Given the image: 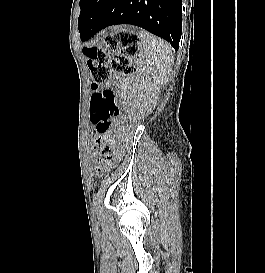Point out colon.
Listing matches in <instances>:
<instances>
[{
    "mask_svg": "<svg viewBox=\"0 0 265 273\" xmlns=\"http://www.w3.org/2000/svg\"><path fill=\"white\" fill-rule=\"evenodd\" d=\"M139 50L138 36L127 31L107 34L102 46L85 48L84 54L88 60L95 87L109 78V69L105 64L109 54H112L113 72L117 75H128L135 72L134 58ZM89 112L90 120L96 127L93 144L97 151L98 168L103 171L109 166L110 153L114 147V137L109 127L111 120L119 113L115 94L111 90L95 91L91 98Z\"/></svg>",
    "mask_w": 265,
    "mask_h": 273,
    "instance_id": "5ec220e1",
    "label": "colon"
}]
</instances>
